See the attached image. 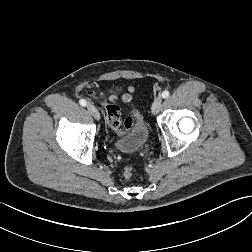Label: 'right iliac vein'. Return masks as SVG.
I'll list each match as a JSON object with an SVG mask.
<instances>
[{
    "label": "right iliac vein",
    "instance_id": "right-iliac-vein-1",
    "mask_svg": "<svg viewBox=\"0 0 252 252\" xmlns=\"http://www.w3.org/2000/svg\"><path fill=\"white\" fill-rule=\"evenodd\" d=\"M87 109L89 111V113L96 119V120H99L100 119V114L97 110V108L92 105V104H88L87 105Z\"/></svg>",
    "mask_w": 252,
    "mask_h": 252
}]
</instances>
